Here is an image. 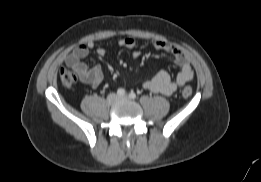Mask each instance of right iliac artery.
Wrapping results in <instances>:
<instances>
[{
	"label": "right iliac artery",
	"instance_id": "obj_1",
	"mask_svg": "<svg viewBox=\"0 0 261 182\" xmlns=\"http://www.w3.org/2000/svg\"><path fill=\"white\" fill-rule=\"evenodd\" d=\"M126 94V92H125V90L123 89V88H119L118 90H117V95L118 96H124Z\"/></svg>",
	"mask_w": 261,
	"mask_h": 182
}]
</instances>
